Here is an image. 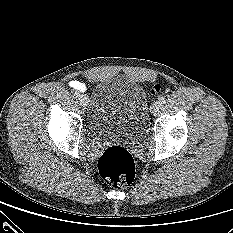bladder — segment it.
<instances>
[{
  "label": "bladder",
  "mask_w": 233,
  "mask_h": 233,
  "mask_svg": "<svg viewBox=\"0 0 233 233\" xmlns=\"http://www.w3.org/2000/svg\"><path fill=\"white\" fill-rule=\"evenodd\" d=\"M88 104L87 124L93 140L137 142L147 132L146 92L142 85L128 77L119 75L99 82Z\"/></svg>",
  "instance_id": "bladder-1"
}]
</instances>
